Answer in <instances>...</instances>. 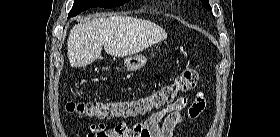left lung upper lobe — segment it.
Masks as SVG:
<instances>
[{"instance_id":"left-lung-upper-lobe-1","label":"left lung upper lobe","mask_w":280,"mask_h":137,"mask_svg":"<svg viewBox=\"0 0 280 137\" xmlns=\"http://www.w3.org/2000/svg\"><path fill=\"white\" fill-rule=\"evenodd\" d=\"M201 1H202V4H203L207 9H211L208 0H201Z\"/></svg>"}]
</instances>
